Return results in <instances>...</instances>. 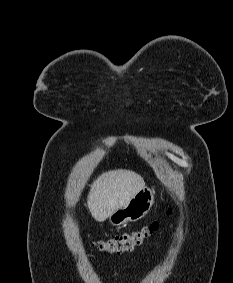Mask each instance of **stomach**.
Instances as JSON below:
<instances>
[{"mask_svg": "<svg viewBox=\"0 0 233 283\" xmlns=\"http://www.w3.org/2000/svg\"><path fill=\"white\" fill-rule=\"evenodd\" d=\"M153 203V191L144 187L125 206L115 210L109 216V222L114 226H120L126 222L138 221L149 212Z\"/></svg>", "mask_w": 233, "mask_h": 283, "instance_id": "obj_1", "label": "stomach"}]
</instances>
